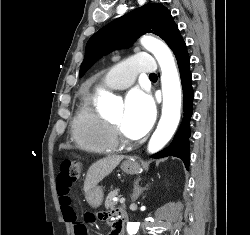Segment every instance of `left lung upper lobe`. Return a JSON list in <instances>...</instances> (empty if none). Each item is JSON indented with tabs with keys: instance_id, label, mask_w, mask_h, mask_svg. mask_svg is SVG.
Listing matches in <instances>:
<instances>
[{
	"instance_id": "5c2ea615",
	"label": "left lung upper lobe",
	"mask_w": 250,
	"mask_h": 235,
	"mask_svg": "<svg viewBox=\"0 0 250 235\" xmlns=\"http://www.w3.org/2000/svg\"><path fill=\"white\" fill-rule=\"evenodd\" d=\"M154 33L171 47L179 33L173 17L159 3L145 4L102 27L88 40L80 76L107 53L132 45L139 35Z\"/></svg>"
}]
</instances>
